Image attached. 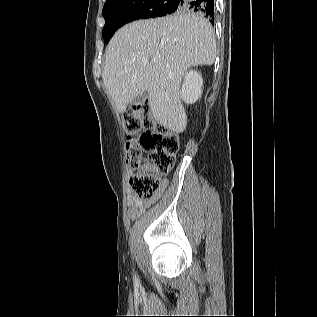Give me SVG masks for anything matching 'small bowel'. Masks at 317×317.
Wrapping results in <instances>:
<instances>
[{"label":"small bowel","mask_w":317,"mask_h":317,"mask_svg":"<svg viewBox=\"0 0 317 317\" xmlns=\"http://www.w3.org/2000/svg\"><path fill=\"white\" fill-rule=\"evenodd\" d=\"M167 181H162V186L165 187ZM128 215L131 220H135L142 215L147 208L152 204V200L143 201L138 199L135 195L130 194L128 196Z\"/></svg>","instance_id":"obj_1"}]
</instances>
